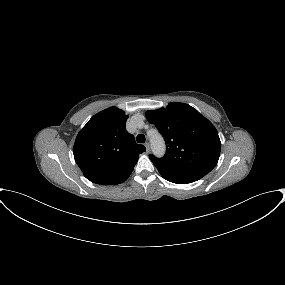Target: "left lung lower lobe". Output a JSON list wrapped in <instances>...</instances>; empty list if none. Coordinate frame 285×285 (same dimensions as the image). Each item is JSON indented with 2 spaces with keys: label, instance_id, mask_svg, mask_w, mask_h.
<instances>
[{
  "label": "left lung lower lobe",
  "instance_id": "obj_1",
  "mask_svg": "<svg viewBox=\"0 0 285 285\" xmlns=\"http://www.w3.org/2000/svg\"><path fill=\"white\" fill-rule=\"evenodd\" d=\"M166 180H168V181H170V182H173V183H176V184H188V183L194 182V181H192V180L176 179V178H174V179L169 178V179H166Z\"/></svg>",
  "mask_w": 285,
  "mask_h": 285
}]
</instances>
